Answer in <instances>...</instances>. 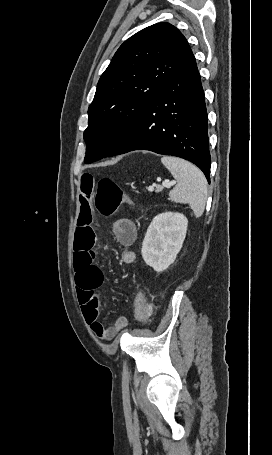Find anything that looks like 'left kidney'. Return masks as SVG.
I'll return each instance as SVG.
<instances>
[{
    "label": "left kidney",
    "instance_id": "1",
    "mask_svg": "<svg viewBox=\"0 0 272 455\" xmlns=\"http://www.w3.org/2000/svg\"><path fill=\"white\" fill-rule=\"evenodd\" d=\"M187 226V218L178 212H164L155 216L142 244L141 253L145 263L156 272L166 270L182 248Z\"/></svg>",
    "mask_w": 272,
    "mask_h": 455
}]
</instances>
